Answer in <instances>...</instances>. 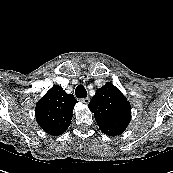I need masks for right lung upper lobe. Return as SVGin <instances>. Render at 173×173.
<instances>
[{"label": "right lung upper lobe", "mask_w": 173, "mask_h": 173, "mask_svg": "<svg viewBox=\"0 0 173 173\" xmlns=\"http://www.w3.org/2000/svg\"><path fill=\"white\" fill-rule=\"evenodd\" d=\"M76 103L72 94H67L61 86L54 85L37 103L36 120L46 133L61 135L70 126Z\"/></svg>", "instance_id": "cb5924a9"}]
</instances>
